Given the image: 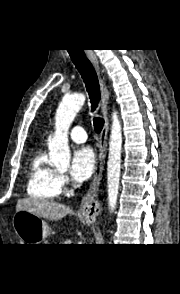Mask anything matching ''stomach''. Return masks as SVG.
Listing matches in <instances>:
<instances>
[{"label": "stomach", "mask_w": 180, "mask_h": 294, "mask_svg": "<svg viewBox=\"0 0 180 294\" xmlns=\"http://www.w3.org/2000/svg\"><path fill=\"white\" fill-rule=\"evenodd\" d=\"M12 223L23 244H41L50 234V229L42 217L25 210L17 211Z\"/></svg>", "instance_id": "obj_1"}]
</instances>
